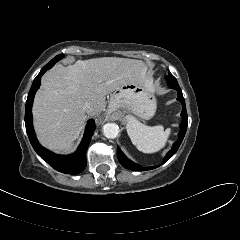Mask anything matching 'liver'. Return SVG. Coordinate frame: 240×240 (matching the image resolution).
<instances>
[{"mask_svg":"<svg viewBox=\"0 0 240 240\" xmlns=\"http://www.w3.org/2000/svg\"><path fill=\"white\" fill-rule=\"evenodd\" d=\"M140 82L153 85L140 60L102 57L79 60L74 65H56L42 77L33 104L34 127L40 143L54 151H69L89 115L104 106L106 95L119 87Z\"/></svg>","mask_w":240,"mask_h":240,"instance_id":"1","label":"liver"}]
</instances>
